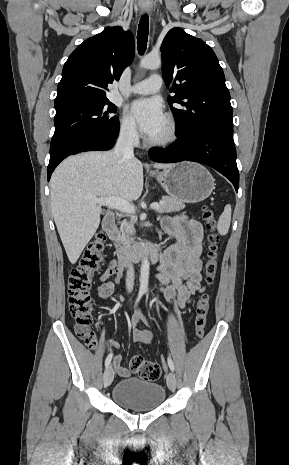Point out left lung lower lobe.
<instances>
[{"label":"left lung lower lobe","mask_w":289,"mask_h":465,"mask_svg":"<svg viewBox=\"0 0 289 465\" xmlns=\"http://www.w3.org/2000/svg\"><path fill=\"white\" fill-rule=\"evenodd\" d=\"M176 144L169 149H154L149 157L156 162L175 163L193 161L206 164L239 187L236 149L232 134L202 126H194L185 134H178Z\"/></svg>","instance_id":"left-lung-lower-lobe-1"}]
</instances>
